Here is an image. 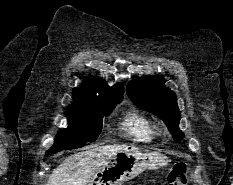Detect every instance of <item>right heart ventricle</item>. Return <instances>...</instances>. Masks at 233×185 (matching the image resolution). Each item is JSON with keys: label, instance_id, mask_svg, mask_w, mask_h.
<instances>
[{"label": "right heart ventricle", "instance_id": "1", "mask_svg": "<svg viewBox=\"0 0 233 185\" xmlns=\"http://www.w3.org/2000/svg\"><path fill=\"white\" fill-rule=\"evenodd\" d=\"M120 124L126 136L136 142H151L158 133L155 123L137 110L127 112L122 117Z\"/></svg>", "mask_w": 233, "mask_h": 185}]
</instances>
